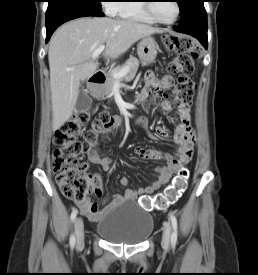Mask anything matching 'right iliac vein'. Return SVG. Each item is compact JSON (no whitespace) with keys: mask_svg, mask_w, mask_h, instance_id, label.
Wrapping results in <instances>:
<instances>
[{"mask_svg":"<svg viewBox=\"0 0 258 275\" xmlns=\"http://www.w3.org/2000/svg\"><path fill=\"white\" fill-rule=\"evenodd\" d=\"M75 235H76V245L78 248L82 247L84 244V224L81 218L75 220Z\"/></svg>","mask_w":258,"mask_h":275,"instance_id":"obj_1","label":"right iliac vein"}]
</instances>
